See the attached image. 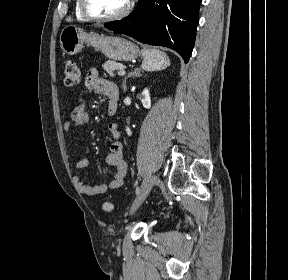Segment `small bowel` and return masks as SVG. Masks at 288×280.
<instances>
[{
    "label": "small bowel",
    "mask_w": 288,
    "mask_h": 280,
    "mask_svg": "<svg viewBox=\"0 0 288 280\" xmlns=\"http://www.w3.org/2000/svg\"><path fill=\"white\" fill-rule=\"evenodd\" d=\"M85 87L90 92L105 94L108 98V105L111 99H118L117 87L113 83L101 78L95 68L88 71L85 78ZM89 118L86 105L84 103L79 104L72 110L70 120H66L63 123V128L69 133L77 127L85 126L89 122ZM108 130L113 140L110 144V153L106 156V162L108 165L114 167L112 180L108 183L90 186L80 176L76 175L74 176V182L78 191L82 194L89 196L104 195L109 190L121 187L124 183L127 173V162L124 158L123 145L120 141V129L117 124L110 123ZM87 165L88 160L85 157H80L75 162V167L78 170L84 169Z\"/></svg>",
    "instance_id": "obj_1"
}]
</instances>
